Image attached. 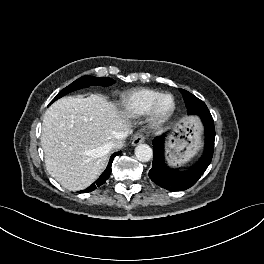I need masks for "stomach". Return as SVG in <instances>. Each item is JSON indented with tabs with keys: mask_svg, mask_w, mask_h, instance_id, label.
<instances>
[{
	"mask_svg": "<svg viewBox=\"0 0 264 264\" xmlns=\"http://www.w3.org/2000/svg\"><path fill=\"white\" fill-rule=\"evenodd\" d=\"M201 146V124L191 117L181 119L167 137L165 154L170 166H181L189 162Z\"/></svg>",
	"mask_w": 264,
	"mask_h": 264,
	"instance_id": "1",
	"label": "stomach"
}]
</instances>
